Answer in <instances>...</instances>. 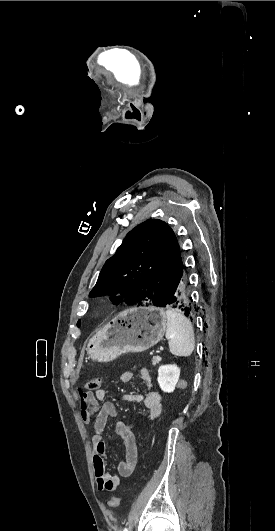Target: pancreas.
<instances>
[{"label":"pancreas","mask_w":275,"mask_h":531,"mask_svg":"<svg viewBox=\"0 0 275 531\" xmlns=\"http://www.w3.org/2000/svg\"><path fill=\"white\" fill-rule=\"evenodd\" d=\"M161 361V357H153L152 359V365H157Z\"/></svg>","instance_id":"cf45deb5"}]
</instances>
